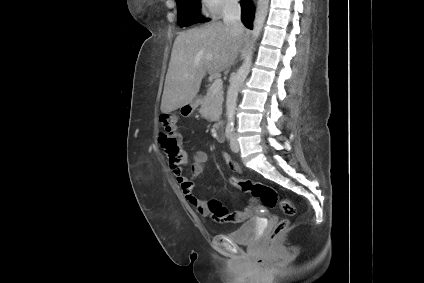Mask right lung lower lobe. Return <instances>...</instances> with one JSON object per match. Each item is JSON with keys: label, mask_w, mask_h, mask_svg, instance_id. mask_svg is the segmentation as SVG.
<instances>
[{"label": "right lung lower lobe", "mask_w": 424, "mask_h": 283, "mask_svg": "<svg viewBox=\"0 0 424 283\" xmlns=\"http://www.w3.org/2000/svg\"><path fill=\"white\" fill-rule=\"evenodd\" d=\"M241 8H242V16L241 20L243 24L249 28L252 29L253 27V17H254V8L250 1L243 0L241 2Z\"/></svg>", "instance_id": "98d812e1"}]
</instances>
